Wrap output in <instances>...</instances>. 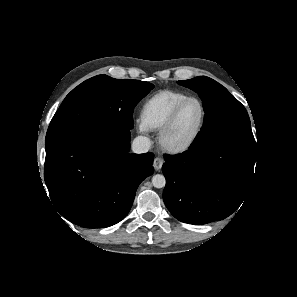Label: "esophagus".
I'll return each instance as SVG.
<instances>
[{"label":"esophagus","mask_w":297,"mask_h":297,"mask_svg":"<svg viewBox=\"0 0 297 297\" xmlns=\"http://www.w3.org/2000/svg\"><path fill=\"white\" fill-rule=\"evenodd\" d=\"M163 163H164V161L162 158L156 157L153 161V166H154L155 170L161 169Z\"/></svg>","instance_id":"34e87169"}]
</instances>
